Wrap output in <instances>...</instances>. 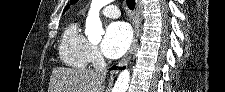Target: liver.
<instances>
[{"label": "liver", "instance_id": "1", "mask_svg": "<svg viewBox=\"0 0 225 92\" xmlns=\"http://www.w3.org/2000/svg\"><path fill=\"white\" fill-rule=\"evenodd\" d=\"M106 71L56 67L48 92H104Z\"/></svg>", "mask_w": 225, "mask_h": 92}]
</instances>
